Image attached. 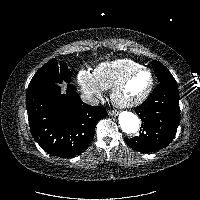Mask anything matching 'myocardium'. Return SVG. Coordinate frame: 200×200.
<instances>
[{"label":"myocardium","instance_id":"1","mask_svg":"<svg viewBox=\"0 0 200 200\" xmlns=\"http://www.w3.org/2000/svg\"><path fill=\"white\" fill-rule=\"evenodd\" d=\"M140 72H147L150 76V82L146 91L140 97L136 99H133V100L123 99L121 97L122 90L124 89L126 84L130 81V79ZM153 87H154V75L152 71L149 68L142 66L129 72L113 87L112 92H111V99H112V102L120 108L137 107L148 99V97L150 96L153 90Z\"/></svg>","mask_w":200,"mask_h":200}]
</instances>
